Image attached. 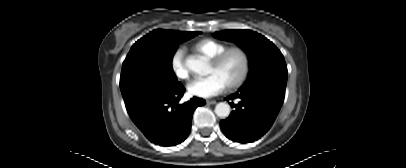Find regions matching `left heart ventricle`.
<instances>
[{"instance_id":"left-heart-ventricle-1","label":"left heart ventricle","mask_w":406,"mask_h":168,"mask_svg":"<svg viewBox=\"0 0 406 168\" xmlns=\"http://www.w3.org/2000/svg\"><path fill=\"white\" fill-rule=\"evenodd\" d=\"M241 70V56L237 52H232L218 67H214L209 64L207 75H216L223 82V84L227 86L237 80L241 73Z\"/></svg>"}]
</instances>
